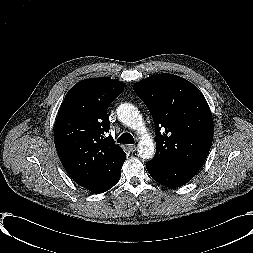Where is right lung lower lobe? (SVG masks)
I'll use <instances>...</instances> for the list:
<instances>
[{
  "label": "right lung lower lobe",
  "instance_id": "obj_1",
  "mask_svg": "<svg viewBox=\"0 0 253 253\" xmlns=\"http://www.w3.org/2000/svg\"><path fill=\"white\" fill-rule=\"evenodd\" d=\"M120 175H121V173H120ZM120 175L117 176V178L111 182V184L109 185V187H108L105 191H107V190H109L110 188H112V187L119 181ZM105 191H104V192H105Z\"/></svg>",
  "mask_w": 253,
  "mask_h": 253
}]
</instances>
